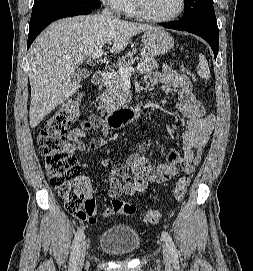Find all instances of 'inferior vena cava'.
<instances>
[{
  "instance_id": "obj_1",
  "label": "inferior vena cava",
  "mask_w": 253,
  "mask_h": 271,
  "mask_svg": "<svg viewBox=\"0 0 253 271\" xmlns=\"http://www.w3.org/2000/svg\"><path fill=\"white\" fill-rule=\"evenodd\" d=\"M102 15L106 16V17H109V18H116L112 13L111 11L108 9V8H105L103 11H102Z\"/></svg>"
}]
</instances>
